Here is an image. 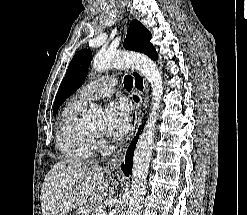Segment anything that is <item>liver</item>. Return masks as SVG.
I'll return each instance as SVG.
<instances>
[{
	"label": "liver",
	"mask_w": 247,
	"mask_h": 215,
	"mask_svg": "<svg viewBox=\"0 0 247 215\" xmlns=\"http://www.w3.org/2000/svg\"><path fill=\"white\" fill-rule=\"evenodd\" d=\"M108 182L101 166L58 162L48 172L41 190L43 215H67L88 201L103 198Z\"/></svg>",
	"instance_id": "liver-1"
}]
</instances>
